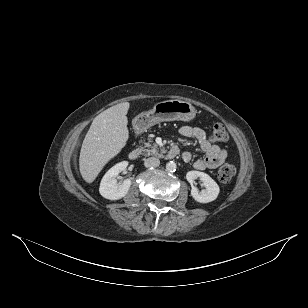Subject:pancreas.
<instances>
[{
    "instance_id": "1",
    "label": "pancreas",
    "mask_w": 308,
    "mask_h": 308,
    "mask_svg": "<svg viewBox=\"0 0 308 308\" xmlns=\"http://www.w3.org/2000/svg\"><path fill=\"white\" fill-rule=\"evenodd\" d=\"M140 150L144 156H157V157H162V153L165 152L163 148L160 149L161 153H159V148L156 143H152L151 140L148 142H144L142 146H140Z\"/></svg>"
}]
</instances>
